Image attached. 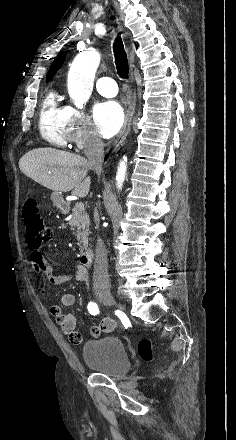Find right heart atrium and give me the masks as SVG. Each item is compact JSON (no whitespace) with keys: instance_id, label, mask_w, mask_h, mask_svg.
I'll return each instance as SVG.
<instances>
[{"instance_id":"d8ad5b80","label":"right heart atrium","mask_w":236,"mask_h":440,"mask_svg":"<svg viewBox=\"0 0 236 440\" xmlns=\"http://www.w3.org/2000/svg\"><path fill=\"white\" fill-rule=\"evenodd\" d=\"M68 143L75 145L79 151H94L100 148L99 139L89 115L76 107L66 106Z\"/></svg>"}]
</instances>
